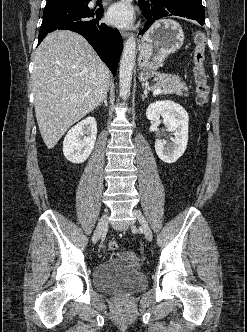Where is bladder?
<instances>
[{"instance_id":"1","label":"bladder","mask_w":247,"mask_h":332,"mask_svg":"<svg viewBox=\"0 0 247 332\" xmlns=\"http://www.w3.org/2000/svg\"><path fill=\"white\" fill-rule=\"evenodd\" d=\"M93 283L102 292L130 295L146 286L147 277L138 268L135 254L124 251L105 259L95 266Z\"/></svg>"}]
</instances>
